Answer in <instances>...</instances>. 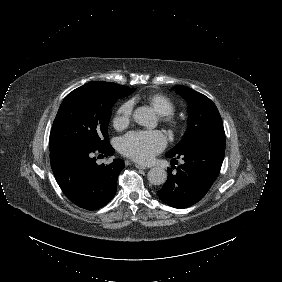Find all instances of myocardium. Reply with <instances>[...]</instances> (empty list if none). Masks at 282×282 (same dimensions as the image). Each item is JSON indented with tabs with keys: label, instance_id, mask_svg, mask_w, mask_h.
Here are the masks:
<instances>
[{
	"label": "myocardium",
	"instance_id": "myocardium-1",
	"mask_svg": "<svg viewBox=\"0 0 282 282\" xmlns=\"http://www.w3.org/2000/svg\"><path fill=\"white\" fill-rule=\"evenodd\" d=\"M161 119H162L163 121H170V120H171L168 116H163Z\"/></svg>",
	"mask_w": 282,
	"mask_h": 282
}]
</instances>
